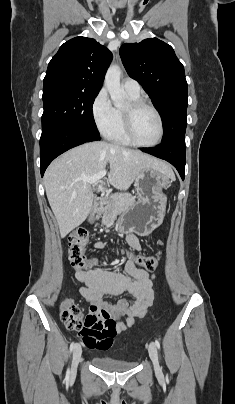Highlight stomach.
Returning <instances> with one entry per match:
<instances>
[{
  "instance_id": "stomach-1",
  "label": "stomach",
  "mask_w": 235,
  "mask_h": 404,
  "mask_svg": "<svg viewBox=\"0 0 235 404\" xmlns=\"http://www.w3.org/2000/svg\"><path fill=\"white\" fill-rule=\"evenodd\" d=\"M169 176L160 170L146 167L135 179L138 201L128 206L117 221L122 233L149 235L163 222L167 197L163 189L170 185Z\"/></svg>"
}]
</instances>
